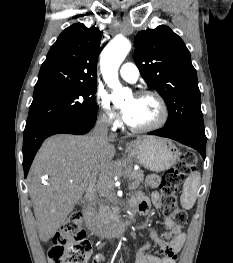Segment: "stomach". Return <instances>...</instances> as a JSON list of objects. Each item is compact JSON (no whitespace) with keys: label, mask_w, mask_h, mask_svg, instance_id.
Wrapping results in <instances>:
<instances>
[{"label":"stomach","mask_w":233,"mask_h":263,"mask_svg":"<svg viewBox=\"0 0 233 263\" xmlns=\"http://www.w3.org/2000/svg\"><path fill=\"white\" fill-rule=\"evenodd\" d=\"M126 151L143 167L155 172L167 170L179 156L172 142L154 136L137 137L126 144Z\"/></svg>","instance_id":"obj_1"}]
</instances>
